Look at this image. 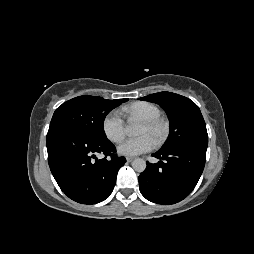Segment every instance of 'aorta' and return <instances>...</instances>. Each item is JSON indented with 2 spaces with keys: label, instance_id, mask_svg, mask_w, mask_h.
<instances>
[{
  "label": "aorta",
  "instance_id": "762f6f07",
  "mask_svg": "<svg viewBox=\"0 0 254 254\" xmlns=\"http://www.w3.org/2000/svg\"><path fill=\"white\" fill-rule=\"evenodd\" d=\"M125 130L128 135H135L138 132V126L135 123H130ZM146 166V161L141 158L134 159L132 162V168L139 173L143 172Z\"/></svg>",
  "mask_w": 254,
  "mask_h": 254
}]
</instances>
